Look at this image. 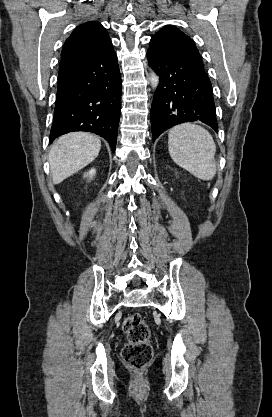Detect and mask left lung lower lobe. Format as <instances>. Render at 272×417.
I'll return each mask as SVG.
<instances>
[{"label": "left lung lower lobe", "mask_w": 272, "mask_h": 417, "mask_svg": "<svg viewBox=\"0 0 272 417\" xmlns=\"http://www.w3.org/2000/svg\"><path fill=\"white\" fill-rule=\"evenodd\" d=\"M147 58L160 79L151 108L153 141L184 122H203L217 131L212 85L202 62L150 48Z\"/></svg>", "instance_id": "obj_1"}]
</instances>
